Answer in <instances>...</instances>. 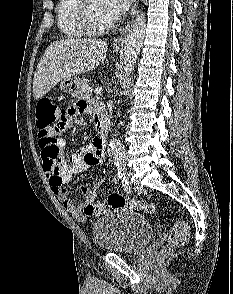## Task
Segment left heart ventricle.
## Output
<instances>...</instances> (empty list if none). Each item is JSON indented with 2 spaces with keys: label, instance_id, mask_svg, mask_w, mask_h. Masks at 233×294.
Masks as SVG:
<instances>
[{
  "label": "left heart ventricle",
  "instance_id": "1",
  "mask_svg": "<svg viewBox=\"0 0 233 294\" xmlns=\"http://www.w3.org/2000/svg\"><path fill=\"white\" fill-rule=\"evenodd\" d=\"M91 9L98 24H106L113 21L104 8L103 0H91Z\"/></svg>",
  "mask_w": 233,
  "mask_h": 294
}]
</instances>
